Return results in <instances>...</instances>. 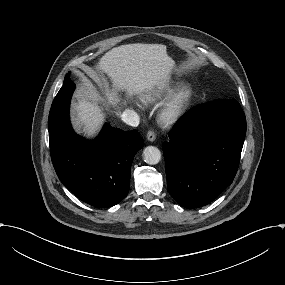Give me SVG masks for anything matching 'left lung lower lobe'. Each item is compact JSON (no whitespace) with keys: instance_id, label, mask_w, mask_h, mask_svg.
<instances>
[{"instance_id":"0a47b994","label":"left lung lower lobe","mask_w":285,"mask_h":285,"mask_svg":"<svg viewBox=\"0 0 285 285\" xmlns=\"http://www.w3.org/2000/svg\"><path fill=\"white\" fill-rule=\"evenodd\" d=\"M246 118L234 100H215L192 109L163 144L167 188L183 207L209 204L237 172Z\"/></svg>"}]
</instances>
